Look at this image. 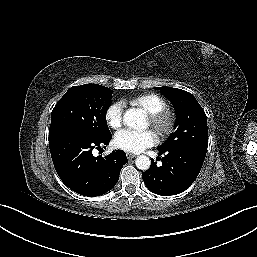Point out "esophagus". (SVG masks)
<instances>
[{"instance_id":"34e87169","label":"esophagus","mask_w":257,"mask_h":257,"mask_svg":"<svg viewBox=\"0 0 257 257\" xmlns=\"http://www.w3.org/2000/svg\"><path fill=\"white\" fill-rule=\"evenodd\" d=\"M126 156L128 159H132V158L136 157V155L132 154V153H126Z\"/></svg>"}]
</instances>
